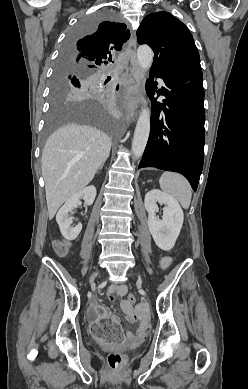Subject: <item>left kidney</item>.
I'll return each instance as SVG.
<instances>
[{"label":"left kidney","mask_w":248,"mask_h":389,"mask_svg":"<svg viewBox=\"0 0 248 389\" xmlns=\"http://www.w3.org/2000/svg\"><path fill=\"white\" fill-rule=\"evenodd\" d=\"M157 202L164 204L162 219L156 217ZM144 206L148 212V226L156 245L165 251L171 250L183 225L184 214L177 200L158 189L145 195Z\"/></svg>","instance_id":"1"}]
</instances>
